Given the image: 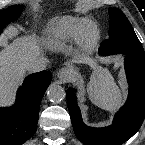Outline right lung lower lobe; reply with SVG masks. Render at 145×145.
Segmentation results:
<instances>
[{
  "label": "right lung lower lobe",
  "instance_id": "right-lung-lower-lobe-1",
  "mask_svg": "<svg viewBox=\"0 0 145 145\" xmlns=\"http://www.w3.org/2000/svg\"><path fill=\"white\" fill-rule=\"evenodd\" d=\"M51 72L29 75L19 88L14 107L0 108V145H21L36 131L41 100Z\"/></svg>",
  "mask_w": 145,
  "mask_h": 145
}]
</instances>
